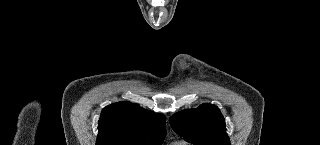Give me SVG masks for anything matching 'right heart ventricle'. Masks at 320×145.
<instances>
[{
	"instance_id": "obj_1",
	"label": "right heart ventricle",
	"mask_w": 320,
	"mask_h": 145,
	"mask_svg": "<svg viewBox=\"0 0 320 145\" xmlns=\"http://www.w3.org/2000/svg\"><path fill=\"white\" fill-rule=\"evenodd\" d=\"M174 145H188L185 141H176Z\"/></svg>"
}]
</instances>
